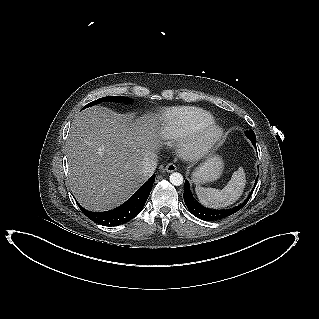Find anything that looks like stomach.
<instances>
[{
	"instance_id": "obj_1",
	"label": "stomach",
	"mask_w": 319,
	"mask_h": 319,
	"mask_svg": "<svg viewBox=\"0 0 319 319\" xmlns=\"http://www.w3.org/2000/svg\"><path fill=\"white\" fill-rule=\"evenodd\" d=\"M223 162L220 157L212 156L203 162L192 174V181L195 184L212 182L217 180L223 171Z\"/></svg>"
}]
</instances>
